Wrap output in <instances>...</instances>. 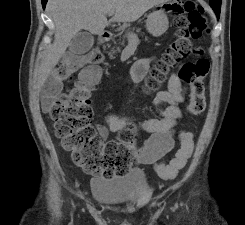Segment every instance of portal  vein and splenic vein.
<instances>
[{"label":"portal vein and splenic vein","mask_w":245,"mask_h":225,"mask_svg":"<svg viewBox=\"0 0 245 225\" xmlns=\"http://www.w3.org/2000/svg\"><path fill=\"white\" fill-rule=\"evenodd\" d=\"M108 15H109V16H113V15H114V12H113V11H110V12H108ZM128 41H129L130 43H138V42H139V39H138V37H137L136 34L130 33V34L128 35Z\"/></svg>","instance_id":"obj_1"}]
</instances>
